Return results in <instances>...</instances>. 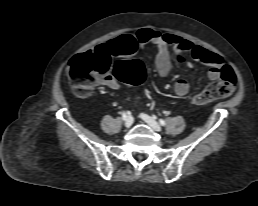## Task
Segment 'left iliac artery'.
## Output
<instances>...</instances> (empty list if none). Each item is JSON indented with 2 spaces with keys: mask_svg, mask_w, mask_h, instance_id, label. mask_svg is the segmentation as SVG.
<instances>
[{
  "mask_svg": "<svg viewBox=\"0 0 258 206\" xmlns=\"http://www.w3.org/2000/svg\"><path fill=\"white\" fill-rule=\"evenodd\" d=\"M159 122H160V124H161L162 126H164V125L166 124V122H165L163 119H160Z\"/></svg>",
  "mask_w": 258,
  "mask_h": 206,
  "instance_id": "obj_1",
  "label": "left iliac artery"
}]
</instances>
